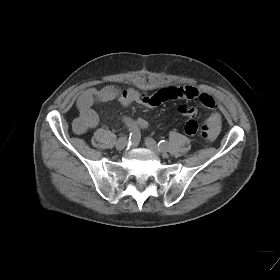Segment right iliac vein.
<instances>
[{"label":"right iliac vein","mask_w":280,"mask_h":280,"mask_svg":"<svg viewBox=\"0 0 280 280\" xmlns=\"http://www.w3.org/2000/svg\"><path fill=\"white\" fill-rule=\"evenodd\" d=\"M127 145V139L125 137H120L116 142V149L123 150Z\"/></svg>","instance_id":"right-iliac-vein-1"}]
</instances>
